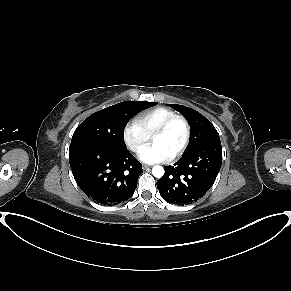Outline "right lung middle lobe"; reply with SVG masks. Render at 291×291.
<instances>
[{
  "mask_svg": "<svg viewBox=\"0 0 291 291\" xmlns=\"http://www.w3.org/2000/svg\"><path fill=\"white\" fill-rule=\"evenodd\" d=\"M155 105V102L125 101L90 115L75 130L69 150L85 146L126 149L123 138L126 124L137 112Z\"/></svg>",
  "mask_w": 291,
  "mask_h": 291,
  "instance_id": "obj_1",
  "label": "right lung middle lobe"
}]
</instances>
